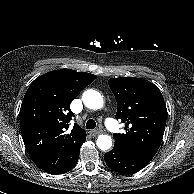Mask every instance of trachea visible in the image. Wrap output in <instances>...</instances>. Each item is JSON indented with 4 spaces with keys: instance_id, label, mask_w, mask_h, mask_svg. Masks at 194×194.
<instances>
[{
    "instance_id": "1",
    "label": "trachea",
    "mask_w": 194,
    "mask_h": 194,
    "mask_svg": "<svg viewBox=\"0 0 194 194\" xmlns=\"http://www.w3.org/2000/svg\"><path fill=\"white\" fill-rule=\"evenodd\" d=\"M96 127V122L93 119H89L86 122V129H94Z\"/></svg>"
}]
</instances>
